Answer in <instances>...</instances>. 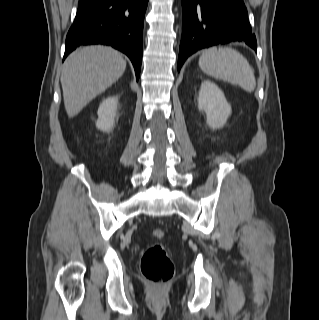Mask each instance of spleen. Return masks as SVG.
<instances>
[{
	"instance_id": "3e777b00",
	"label": "spleen",
	"mask_w": 319,
	"mask_h": 320,
	"mask_svg": "<svg viewBox=\"0 0 319 320\" xmlns=\"http://www.w3.org/2000/svg\"><path fill=\"white\" fill-rule=\"evenodd\" d=\"M199 67L206 74L239 85L247 92L256 87L254 70L247 59L229 47H211L202 52Z\"/></svg>"
}]
</instances>
